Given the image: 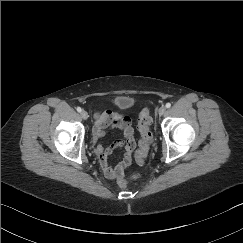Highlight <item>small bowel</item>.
<instances>
[{
  "label": "small bowel",
  "mask_w": 243,
  "mask_h": 243,
  "mask_svg": "<svg viewBox=\"0 0 243 243\" xmlns=\"http://www.w3.org/2000/svg\"><path fill=\"white\" fill-rule=\"evenodd\" d=\"M109 128H117L123 134V140L118 142L117 145L123 147L125 153L123 158L114 166L110 163L111 149L105 148L99 143ZM92 142L94 144V152L98 157L99 165L104 176L112 181H117L120 177L124 176L125 169L131 163L132 154L136 145L131 119L112 109L95 114Z\"/></svg>",
  "instance_id": "obj_1"
}]
</instances>
